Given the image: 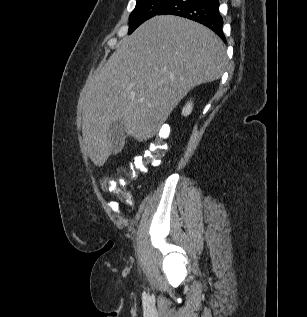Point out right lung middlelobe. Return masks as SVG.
I'll use <instances>...</instances> for the list:
<instances>
[{"instance_id":"dd1d6c3e","label":"right lung middle lobe","mask_w":307,"mask_h":317,"mask_svg":"<svg viewBox=\"0 0 307 317\" xmlns=\"http://www.w3.org/2000/svg\"><path fill=\"white\" fill-rule=\"evenodd\" d=\"M172 0H137L135 9L129 16V31L131 34L144 21L158 15Z\"/></svg>"}]
</instances>
